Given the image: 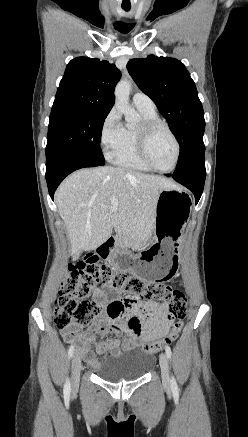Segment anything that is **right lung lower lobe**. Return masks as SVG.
<instances>
[{"mask_svg":"<svg viewBox=\"0 0 248 437\" xmlns=\"http://www.w3.org/2000/svg\"><path fill=\"white\" fill-rule=\"evenodd\" d=\"M104 161L76 151H60L46 156V181L53 200L55 190L61 181L73 171L104 165Z\"/></svg>","mask_w":248,"mask_h":437,"instance_id":"1","label":"right lung lower lobe"}]
</instances>
